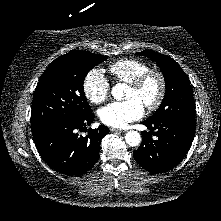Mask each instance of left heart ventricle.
<instances>
[{
    "instance_id": "1",
    "label": "left heart ventricle",
    "mask_w": 221,
    "mask_h": 221,
    "mask_svg": "<svg viewBox=\"0 0 221 221\" xmlns=\"http://www.w3.org/2000/svg\"><path fill=\"white\" fill-rule=\"evenodd\" d=\"M158 89V80L152 77L138 91L129 87L127 92V98H136L145 106L146 104L154 101L158 94Z\"/></svg>"
}]
</instances>
